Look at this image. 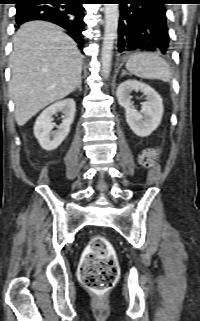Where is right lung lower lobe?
I'll list each match as a JSON object with an SVG mask.
<instances>
[{
	"label": "right lung lower lobe",
	"instance_id": "98d812e1",
	"mask_svg": "<svg viewBox=\"0 0 200 321\" xmlns=\"http://www.w3.org/2000/svg\"><path fill=\"white\" fill-rule=\"evenodd\" d=\"M85 0H21L16 3V26L32 21L45 20L66 29L83 49Z\"/></svg>",
	"mask_w": 200,
	"mask_h": 321
}]
</instances>
